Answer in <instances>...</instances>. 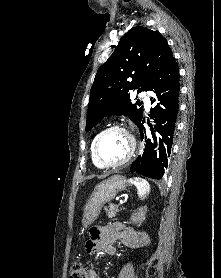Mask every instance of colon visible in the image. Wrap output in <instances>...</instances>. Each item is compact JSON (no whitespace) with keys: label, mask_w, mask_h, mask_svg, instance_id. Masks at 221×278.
Masks as SVG:
<instances>
[{"label":"colon","mask_w":221,"mask_h":278,"mask_svg":"<svg viewBox=\"0 0 221 278\" xmlns=\"http://www.w3.org/2000/svg\"><path fill=\"white\" fill-rule=\"evenodd\" d=\"M69 278H89V269L82 263H75L69 271Z\"/></svg>","instance_id":"1"}]
</instances>
